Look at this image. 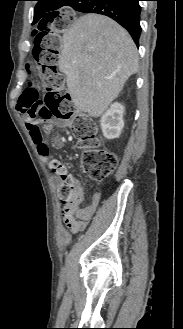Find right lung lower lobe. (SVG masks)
<instances>
[{"instance_id":"1","label":"right lung lower lobe","mask_w":183,"mask_h":329,"mask_svg":"<svg viewBox=\"0 0 183 329\" xmlns=\"http://www.w3.org/2000/svg\"><path fill=\"white\" fill-rule=\"evenodd\" d=\"M140 0H71L70 6L79 12L106 15L123 26L138 46L141 34Z\"/></svg>"}]
</instances>
